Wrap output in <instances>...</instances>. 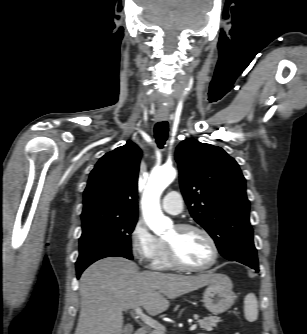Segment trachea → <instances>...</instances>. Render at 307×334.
<instances>
[{"label": "trachea", "mask_w": 307, "mask_h": 334, "mask_svg": "<svg viewBox=\"0 0 307 334\" xmlns=\"http://www.w3.org/2000/svg\"><path fill=\"white\" fill-rule=\"evenodd\" d=\"M168 122L167 121H161L156 123L154 127V133H155V139L156 143L159 148H163L165 145V142L168 138Z\"/></svg>", "instance_id": "3493384b"}]
</instances>
